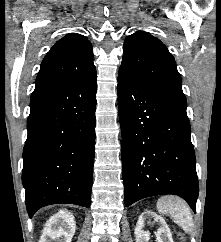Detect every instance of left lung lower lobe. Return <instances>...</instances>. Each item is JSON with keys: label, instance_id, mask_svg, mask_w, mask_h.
Wrapping results in <instances>:
<instances>
[{"label": "left lung lower lobe", "instance_id": "1", "mask_svg": "<svg viewBox=\"0 0 221 242\" xmlns=\"http://www.w3.org/2000/svg\"><path fill=\"white\" fill-rule=\"evenodd\" d=\"M187 102L157 92L120 68L125 205L154 195L182 197L196 212L199 192Z\"/></svg>", "mask_w": 221, "mask_h": 242}]
</instances>
